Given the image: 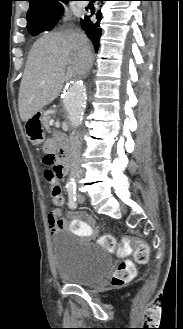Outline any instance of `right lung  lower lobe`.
<instances>
[{"mask_svg":"<svg viewBox=\"0 0 183 329\" xmlns=\"http://www.w3.org/2000/svg\"><path fill=\"white\" fill-rule=\"evenodd\" d=\"M103 1V0H97ZM92 14H94V10L91 9ZM96 20L91 19V15H86L84 19H81V26L86 31L88 37L94 44L95 50L97 51L99 48V41L102 35V29L100 27V21L102 19L101 11L98 10L96 13Z\"/></svg>","mask_w":183,"mask_h":329,"instance_id":"right-lung-lower-lobe-1","label":"right lung lower lobe"}]
</instances>
